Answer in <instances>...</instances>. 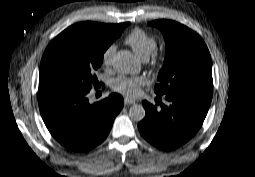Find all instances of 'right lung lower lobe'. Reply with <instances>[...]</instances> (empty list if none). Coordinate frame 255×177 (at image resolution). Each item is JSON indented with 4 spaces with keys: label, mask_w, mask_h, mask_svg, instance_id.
Listing matches in <instances>:
<instances>
[{
    "label": "right lung lower lobe",
    "mask_w": 255,
    "mask_h": 177,
    "mask_svg": "<svg viewBox=\"0 0 255 177\" xmlns=\"http://www.w3.org/2000/svg\"><path fill=\"white\" fill-rule=\"evenodd\" d=\"M89 91L49 89L38 92L46 127L60 144L76 152L88 151L103 142L124 105L122 96L115 93L90 104Z\"/></svg>",
    "instance_id": "1"
}]
</instances>
